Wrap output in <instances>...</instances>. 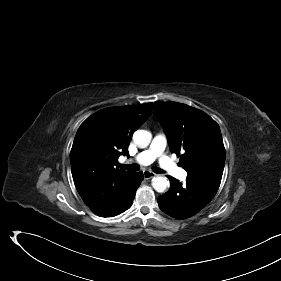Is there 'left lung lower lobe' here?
I'll return each mask as SVG.
<instances>
[{"mask_svg":"<svg viewBox=\"0 0 281 281\" xmlns=\"http://www.w3.org/2000/svg\"><path fill=\"white\" fill-rule=\"evenodd\" d=\"M171 187L158 197L163 212L177 219H186L202 210L215 196L218 187L201 178L187 176L186 184L168 176Z\"/></svg>","mask_w":281,"mask_h":281,"instance_id":"1","label":"left lung lower lobe"}]
</instances>
